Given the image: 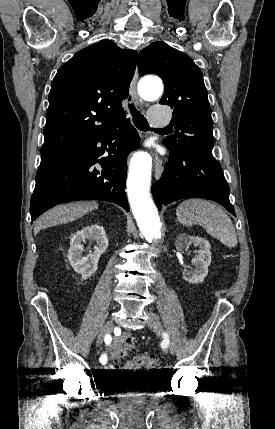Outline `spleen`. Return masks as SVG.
Instances as JSON below:
<instances>
[{
	"label": "spleen",
	"instance_id": "3e777b00",
	"mask_svg": "<svg viewBox=\"0 0 275 429\" xmlns=\"http://www.w3.org/2000/svg\"><path fill=\"white\" fill-rule=\"evenodd\" d=\"M179 222L185 226L199 224L207 233L228 247L238 243L233 223L226 212L216 204L203 199H188L176 209Z\"/></svg>",
	"mask_w": 275,
	"mask_h": 429
}]
</instances>
